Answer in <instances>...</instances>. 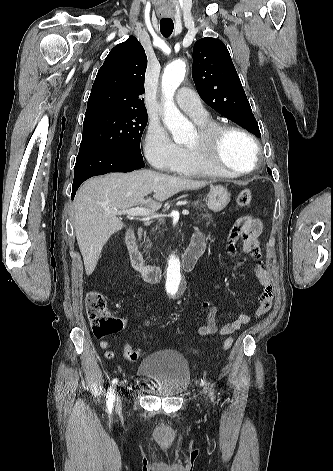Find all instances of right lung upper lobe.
I'll return each mask as SVG.
<instances>
[{"label": "right lung upper lobe", "mask_w": 333, "mask_h": 471, "mask_svg": "<svg viewBox=\"0 0 333 471\" xmlns=\"http://www.w3.org/2000/svg\"><path fill=\"white\" fill-rule=\"evenodd\" d=\"M147 57L134 36L116 45L99 69L87 103L85 117L113 112H147L141 95Z\"/></svg>", "instance_id": "obj_1"}]
</instances>
